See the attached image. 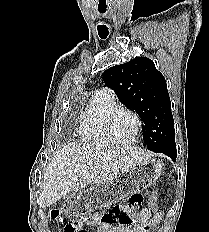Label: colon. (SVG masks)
I'll use <instances>...</instances> for the list:
<instances>
[{"label": "colon", "instance_id": "obj_1", "mask_svg": "<svg viewBox=\"0 0 209 232\" xmlns=\"http://www.w3.org/2000/svg\"><path fill=\"white\" fill-rule=\"evenodd\" d=\"M88 216H89V221L91 222L100 221L101 223H104L109 226L115 222H118L119 224L124 225V226H131L134 223L131 213H126L125 211H122L119 208H114L111 212L103 214V215L95 214L92 216L90 215ZM52 217L54 219L61 220V214L58 210H54L52 212ZM83 222L84 221H74V218L71 220H68L65 223L64 232H85L82 228Z\"/></svg>", "mask_w": 209, "mask_h": 232}]
</instances>
